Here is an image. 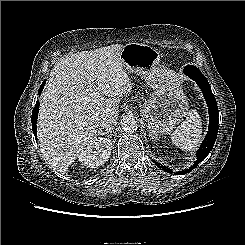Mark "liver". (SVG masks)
Returning a JSON list of instances; mask_svg holds the SVG:
<instances>
[{"label": "liver", "instance_id": "6515ba94", "mask_svg": "<svg viewBox=\"0 0 245 245\" xmlns=\"http://www.w3.org/2000/svg\"><path fill=\"white\" fill-rule=\"evenodd\" d=\"M113 44L60 59L40 99L39 147L48 165L62 175L86 145L102 135L104 117L119 115L120 97L131 92L130 78Z\"/></svg>", "mask_w": 245, "mask_h": 245}]
</instances>
